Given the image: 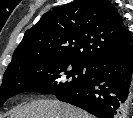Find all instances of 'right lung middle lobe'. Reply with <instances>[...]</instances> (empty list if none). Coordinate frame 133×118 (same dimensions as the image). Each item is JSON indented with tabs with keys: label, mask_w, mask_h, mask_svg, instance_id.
Segmentation results:
<instances>
[{
	"label": "right lung middle lobe",
	"mask_w": 133,
	"mask_h": 118,
	"mask_svg": "<svg viewBox=\"0 0 133 118\" xmlns=\"http://www.w3.org/2000/svg\"><path fill=\"white\" fill-rule=\"evenodd\" d=\"M93 67L58 58L40 60L21 68L7 69L0 87V106L22 92L61 94L87 83Z\"/></svg>",
	"instance_id": "1"
}]
</instances>
